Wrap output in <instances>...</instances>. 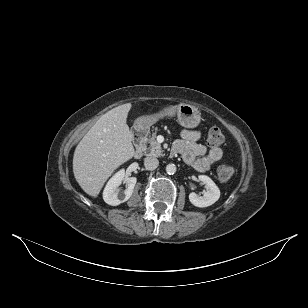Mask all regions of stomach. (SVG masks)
Segmentation results:
<instances>
[{
  "mask_svg": "<svg viewBox=\"0 0 308 308\" xmlns=\"http://www.w3.org/2000/svg\"><path fill=\"white\" fill-rule=\"evenodd\" d=\"M177 114L178 122L185 128H195L201 120V113L195 106L181 103L164 109L160 113L143 116L137 119L136 126L141 129H148L152 124L164 116Z\"/></svg>",
  "mask_w": 308,
  "mask_h": 308,
  "instance_id": "0dacf381",
  "label": "stomach"
}]
</instances>
